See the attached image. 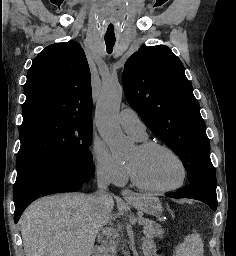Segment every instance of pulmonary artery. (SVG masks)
<instances>
[{
	"mask_svg": "<svg viewBox=\"0 0 236 256\" xmlns=\"http://www.w3.org/2000/svg\"><path fill=\"white\" fill-rule=\"evenodd\" d=\"M118 120L124 131L131 134L137 141L146 138V128L133 109L121 110L118 114Z\"/></svg>",
	"mask_w": 236,
	"mask_h": 256,
	"instance_id": "e3ab8cb5",
	"label": "pulmonary artery"
}]
</instances>
